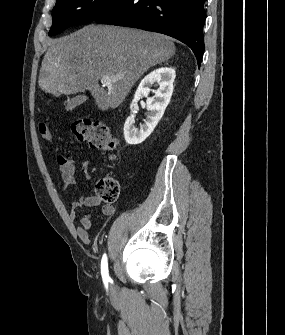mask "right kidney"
Listing matches in <instances>:
<instances>
[{"label":"right kidney","instance_id":"obj_1","mask_svg":"<svg viewBox=\"0 0 285 335\" xmlns=\"http://www.w3.org/2000/svg\"><path fill=\"white\" fill-rule=\"evenodd\" d=\"M175 80V70L173 68H158L154 72H150L140 82L138 90L135 92L134 100L131 104V114L128 116L124 124V138L127 144H141L144 142L154 128H156L159 120H161L173 94V82ZM156 84L159 86L156 90L155 98H148L151 86ZM140 98H147L146 108L149 110L145 124H141L140 130L135 128V106Z\"/></svg>","mask_w":285,"mask_h":335}]
</instances>
